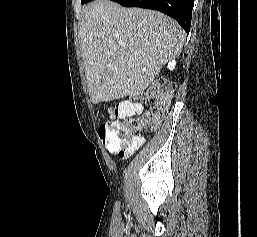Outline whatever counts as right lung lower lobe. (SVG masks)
<instances>
[{
    "label": "right lung lower lobe",
    "instance_id": "obj_1",
    "mask_svg": "<svg viewBox=\"0 0 257 237\" xmlns=\"http://www.w3.org/2000/svg\"><path fill=\"white\" fill-rule=\"evenodd\" d=\"M125 7H139L160 11L174 18L188 33L194 0H112Z\"/></svg>",
    "mask_w": 257,
    "mask_h": 237
}]
</instances>
